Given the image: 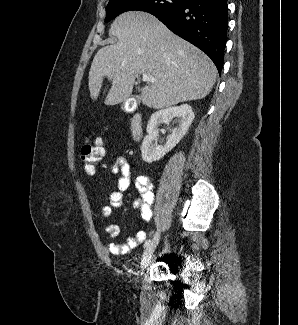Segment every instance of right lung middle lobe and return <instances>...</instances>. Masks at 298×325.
I'll use <instances>...</instances> for the list:
<instances>
[{
	"mask_svg": "<svg viewBox=\"0 0 298 325\" xmlns=\"http://www.w3.org/2000/svg\"><path fill=\"white\" fill-rule=\"evenodd\" d=\"M187 0H113L106 7L105 22H109L117 15L130 11L140 10L153 15L162 11L181 7Z\"/></svg>",
	"mask_w": 298,
	"mask_h": 325,
	"instance_id": "obj_1",
	"label": "right lung middle lobe"
}]
</instances>
